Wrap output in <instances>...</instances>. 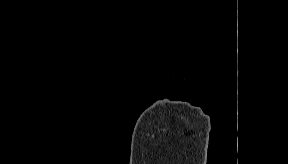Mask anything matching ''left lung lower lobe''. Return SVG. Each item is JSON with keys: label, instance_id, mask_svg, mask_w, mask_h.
Masks as SVG:
<instances>
[{"label": "left lung lower lobe", "instance_id": "0a47b994", "mask_svg": "<svg viewBox=\"0 0 288 164\" xmlns=\"http://www.w3.org/2000/svg\"><path fill=\"white\" fill-rule=\"evenodd\" d=\"M220 82H222V79L218 76L214 77V76H204L201 81L200 84L203 88H207L209 86V84L211 83L213 84H219Z\"/></svg>", "mask_w": 288, "mask_h": 164}]
</instances>
